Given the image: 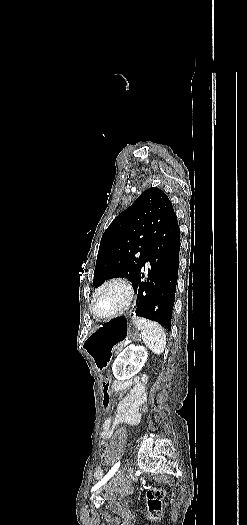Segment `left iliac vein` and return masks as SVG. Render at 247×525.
Masks as SVG:
<instances>
[{"instance_id":"4c4485c4","label":"left iliac vein","mask_w":247,"mask_h":525,"mask_svg":"<svg viewBox=\"0 0 247 525\" xmlns=\"http://www.w3.org/2000/svg\"><path fill=\"white\" fill-rule=\"evenodd\" d=\"M107 485H108V483H105V484H103L102 486H100L98 489H96L95 492L92 494L91 499L96 498L97 495H98L99 493H101V492L107 487Z\"/></svg>"}]
</instances>
